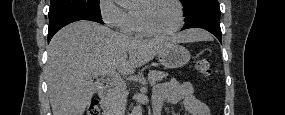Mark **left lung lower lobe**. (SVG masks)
I'll return each mask as SVG.
<instances>
[{
    "label": "left lung lower lobe",
    "mask_w": 285,
    "mask_h": 115,
    "mask_svg": "<svg viewBox=\"0 0 285 115\" xmlns=\"http://www.w3.org/2000/svg\"><path fill=\"white\" fill-rule=\"evenodd\" d=\"M186 23L183 27L188 28H203L221 41V28H220V7L218 1H210L202 3L192 9L185 15Z\"/></svg>",
    "instance_id": "left-lung-lower-lobe-1"
}]
</instances>
